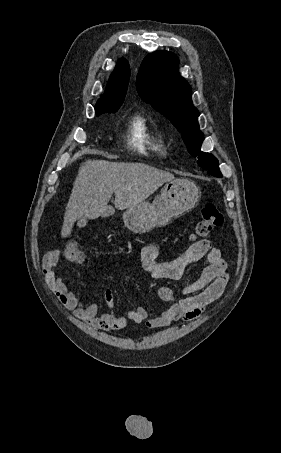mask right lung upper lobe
<instances>
[{"instance_id": "1", "label": "right lung upper lobe", "mask_w": 281, "mask_h": 453, "mask_svg": "<svg viewBox=\"0 0 281 453\" xmlns=\"http://www.w3.org/2000/svg\"><path fill=\"white\" fill-rule=\"evenodd\" d=\"M130 78V68L126 60L121 59L114 69L106 88L95 106L96 115L112 113L122 105Z\"/></svg>"}]
</instances>
